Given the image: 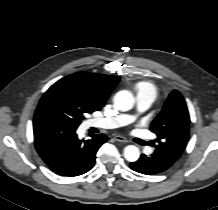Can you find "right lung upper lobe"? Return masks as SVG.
Here are the masks:
<instances>
[{
  "label": "right lung upper lobe",
  "instance_id": "1",
  "mask_svg": "<svg viewBox=\"0 0 218 210\" xmlns=\"http://www.w3.org/2000/svg\"><path fill=\"white\" fill-rule=\"evenodd\" d=\"M119 81L118 76L81 71L60 79L54 85L78 97L93 111H98Z\"/></svg>",
  "mask_w": 218,
  "mask_h": 210
}]
</instances>
